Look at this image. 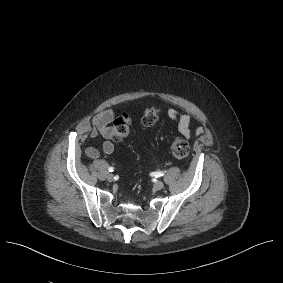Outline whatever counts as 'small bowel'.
I'll return each instance as SVG.
<instances>
[{
  "instance_id": "obj_1",
  "label": "small bowel",
  "mask_w": 283,
  "mask_h": 283,
  "mask_svg": "<svg viewBox=\"0 0 283 283\" xmlns=\"http://www.w3.org/2000/svg\"><path fill=\"white\" fill-rule=\"evenodd\" d=\"M168 117L175 121L178 126L179 132L186 138L192 135H200L203 133V128L198 127L192 129L190 125V115L188 113H181L176 109H169L167 112ZM115 113L112 109H105L97 113L91 120L90 137L96 138L101 136L103 138L102 151L105 154H112L114 152L113 127L110 123L114 119ZM86 155L91 159H96L100 155V151L93 146L86 149Z\"/></svg>"
}]
</instances>
